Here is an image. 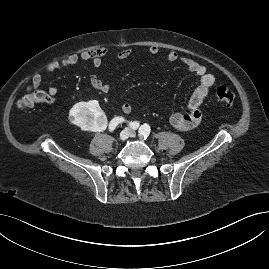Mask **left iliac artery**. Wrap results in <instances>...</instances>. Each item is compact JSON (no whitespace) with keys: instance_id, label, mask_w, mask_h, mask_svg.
<instances>
[{"instance_id":"44dca946","label":"left iliac artery","mask_w":269,"mask_h":269,"mask_svg":"<svg viewBox=\"0 0 269 269\" xmlns=\"http://www.w3.org/2000/svg\"><path fill=\"white\" fill-rule=\"evenodd\" d=\"M138 132H139L140 137L146 139L150 134V126L147 124H144L139 128Z\"/></svg>"}]
</instances>
